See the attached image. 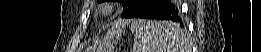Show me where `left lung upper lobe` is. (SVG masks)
Returning <instances> with one entry per match:
<instances>
[{
  "label": "left lung upper lobe",
  "instance_id": "left-lung-upper-lobe-1",
  "mask_svg": "<svg viewBox=\"0 0 261 52\" xmlns=\"http://www.w3.org/2000/svg\"><path fill=\"white\" fill-rule=\"evenodd\" d=\"M103 2L105 0H97ZM123 3L124 10L122 18L136 17L143 9L149 6L154 0H118Z\"/></svg>",
  "mask_w": 261,
  "mask_h": 52
}]
</instances>
